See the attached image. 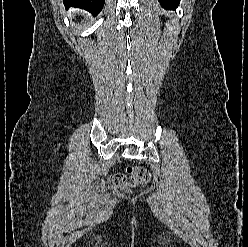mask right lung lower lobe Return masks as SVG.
<instances>
[{
	"mask_svg": "<svg viewBox=\"0 0 248 247\" xmlns=\"http://www.w3.org/2000/svg\"><path fill=\"white\" fill-rule=\"evenodd\" d=\"M105 0H63L68 7L74 6L85 9L93 15L98 14L104 5Z\"/></svg>",
	"mask_w": 248,
	"mask_h": 247,
	"instance_id": "98d812e1",
	"label": "right lung lower lobe"
}]
</instances>
